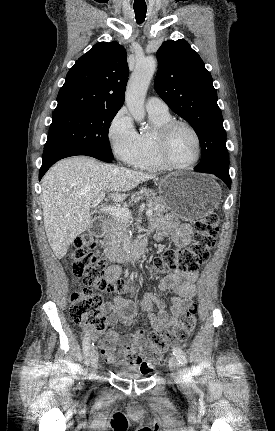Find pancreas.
<instances>
[{"label":"pancreas","instance_id":"1","mask_svg":"<svg viewBox=\"0 0 275 431\" xmlns=\"http://www.w3.org/2000/svg\"><path fill=\"white\" fill-rule=\"evenodd\" d=\"M138 195H144L146 197L150 208L154 210L156 214L164 213L169 209L164 200L157 197L153 190L142 189L140 192L135 193L132 199L136 200ZM129 224L130 222L126 219H121L115 216L112 217L105 228L104 241L102 242V245L106 249L118 248L122 241L123 234L127 230Z\"/></svg>","mask_w":275,"mask_h":431}]
</instances>
